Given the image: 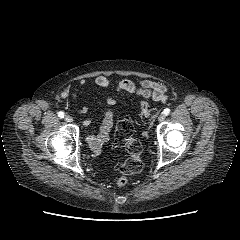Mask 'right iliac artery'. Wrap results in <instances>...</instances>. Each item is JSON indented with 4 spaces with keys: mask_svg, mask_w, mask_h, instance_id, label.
I'll list each match as a JSON object with an SVG mask.
<instances>
[{
    "mask_svg": "<svg viewBox=\"0 0 240 240\" xmlns=\"http://www.w3.org/2000/svg\"><path fill=\"white\" fill-rule=\"evenodd\" d=\"M64 115H65L64 112H62V111L58 112V117H59V118H63Z\"/></svg>",
    "mask_w": 240,
    "mask_h": 240,
    "instance_id": "82829eb1",
    "label": "right iliac artery"
}]
</instances>
